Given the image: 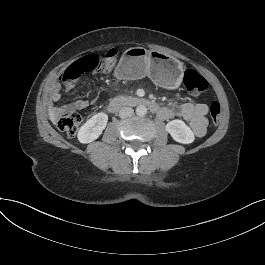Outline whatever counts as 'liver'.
I'll return each instance as SVG.
<instances>
[{
    "instance_id": "6515ba94",
    "label": "liver",
    "mask_w": 265,
    "mask_h": 265,
    "mask_svg": "<svg viewBox=\"0 0 265 265\" xmlns=\"http://www.w3.org/2000/svg\"><path fill=\"white\" fill-rule=\"evenodd\" d=\"M48 116L51 123L54 125L55 128H58V118L55 109L52 106V103L48 104Z\"/></svg>"
}]
</instances>
